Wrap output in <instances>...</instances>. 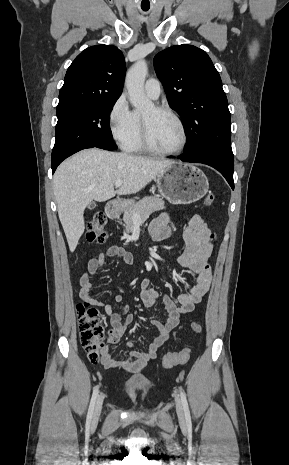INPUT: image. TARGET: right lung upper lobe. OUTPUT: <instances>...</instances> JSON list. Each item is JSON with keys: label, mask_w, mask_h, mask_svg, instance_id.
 <instances>
[{"label": "right lung upper lobe", "mask_w": 289, "mask_h": 465, "mask_svg": "<svg viewBox=\"0 0 289 465\" xmlns=\"http://www.w3.org/2000/svg\"><path fill=\"white\" fill-rule=\"evenodd\" d=\"M125 61L112 45L85 49L69 66L57 108L118 99L123 89Z\"/></svg>", "instance_id": "1"}]
</instances>
